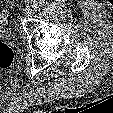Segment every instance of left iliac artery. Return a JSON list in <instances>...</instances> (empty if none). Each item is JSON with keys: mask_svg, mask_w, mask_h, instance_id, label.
I'll return each mask as SVG.
<instances>
[{"mask_svg": "<svg viewBox=\"0 0 113 113\" xmlns=\"http://www.w3.org/2000/svg\"><path fill=\"white\" fill-rule=\"evenodd\" d=\"M42 6V1L41 0H38V1H35L34 2V8L35 9H38Z\"/></svg>", "mask_w": 113, "mask_h": 113, "instance_id": "44dca946", "label": "left iliac artery"}]
</instances>
